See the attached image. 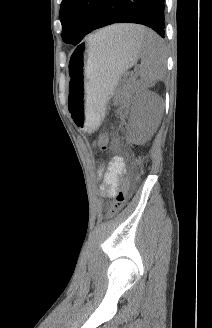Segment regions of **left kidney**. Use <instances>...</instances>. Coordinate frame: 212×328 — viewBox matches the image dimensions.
<instances>
[{"label": "left kidney", "mask_w": 212, "mask_h": 328, "mask_svg": "<svg viewBox=\"0 0 212 328\" xmlns=\"http://www.w3.org/2000/svg\"><path fill=\"white\" fill-rule=\"evenodd\" d=\"M162 100L144 91L134 101L129 117V133L135 143L145 142L155 133L161 118Z\"/></svg>", "instance_id": "1"}]
</instances>
